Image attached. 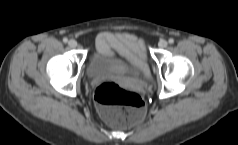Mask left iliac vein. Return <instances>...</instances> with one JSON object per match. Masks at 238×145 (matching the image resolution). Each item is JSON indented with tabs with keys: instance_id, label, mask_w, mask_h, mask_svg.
Masks as SVG:
<instances>
[{
	"instance_id": "obj_1",
	"label": "left iliac vein",
	"mask_w": 238,
	"mask_h": 145,
	"mask_svg": "<svg viewBox=\"0 0 238 145\" xmlns=\"http://www.w3.org/2000/svg\"><path fill=\"white\" fill-rule=\"evenodd\" d=\"M158 45L160 48H166L168 45V42L166 40H160Z\"/></svg>"
}]
</instances>
